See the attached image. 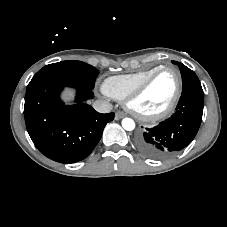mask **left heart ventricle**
<instances>
[{
  "mask_svg": "<svg viewBox=\"0 0 227 227\" xmlns=\"http://www.w3.org/2000/svg\"><path fill=\"white\" fill-rule=\"evenodd\" d=\"M176 88V74L173 71H165L156 77L145 92L134 102V107L142 113H157L170 103Z\"/></svg>",
  "mask_w": 227,
  "mask_h": 227,
  "instance_id": "left-heart-ventricle-1",
  "label": "left heart ventricle"
}]
</instances>
